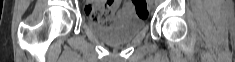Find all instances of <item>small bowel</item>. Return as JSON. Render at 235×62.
Wrapping results in <instances>:
<instances>
[{"instance_id": "c3829d8e", "label": "small bowel", "mask_w": 235, "mask_h": 62, "mask_svg": "<svg viewBox=\"0 0 235 62\" xmlns=\"http://www.w3.org/2000/svg\"><path fill=\"white\" fill-rule=\"evenodd\" d=\"M107 6L109 7V9L111 10V13H112V16H113V14L116 12V10L119 8V6H120V1L119 0H114V1H108L107 3ZM93 6V4L92 5H89L88 7H87V14H88V16L91 18V19H93V20H95L93 17H91L90 15H89V10L91 9V7ZM132 10V7H131V4L130 3H126L125 4V7H124V11H126V12H128V11H131Z\"/></svg>"}]
</instances>
